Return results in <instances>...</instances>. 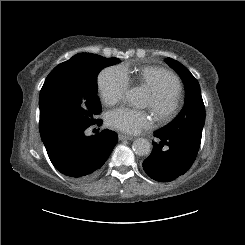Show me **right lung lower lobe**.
Masks as SVG:
<instances>
[{
    "label": "right lung lower lobe",
    "instance_id": "1",
    "mask_svg": "<svg viewBox=\"0 0 245 245\" xmlns=\"http://www.w3.org/2000/svg\"><path fill=\"white\" fill-rule=\"evenodd\" d=\"M86 128L65 129L43 141L55 168L80 181L89 180L100 172L118 142L116 133L106 129L87 137L84 134Z\"/></svg>",
    "mask_w": 245,
    "mask_h": 245
}]
</instances>
